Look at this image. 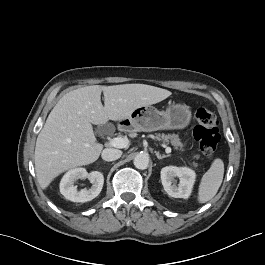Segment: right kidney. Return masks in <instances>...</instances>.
<instances>
[{
    "mask_svg": "<svg viewBox=\"0 0 265 265\" xmlns=\"http://www.w3.org/2000/svg\"><path fill=\"white\" fill-rule=\"evenodd\" d=\"M88 178L92 184L89 189L77 190L74 183L78 179ZM104 184V176L99 171L88 173L85 168H75L69 170L60 182V192L67 199L72 202H87L91 201L99 195Z\"/></svg>",
    "mask_w": 265,
    "mask_h": 265,
    "instance_id": "ca27d5eb",
    "label": "right kidney"
}]
</instances>
